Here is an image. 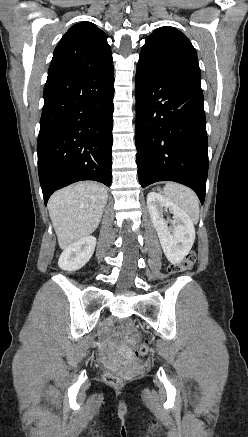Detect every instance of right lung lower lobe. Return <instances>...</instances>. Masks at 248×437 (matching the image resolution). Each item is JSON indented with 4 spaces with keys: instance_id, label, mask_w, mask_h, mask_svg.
Masks as SVG:
<instances>
[{
    "instance_id": "98d812e1",
    "label": "right lung lower lobe",
    "mask_w": 248,
    "mask_h": 437,
    "mask_svg": "<svg viewBox=\"0 0 248 437\" xmlns=\"http://www.w3.org/2000/svg\"><path fill=\"white\" fill-rule=\"evenodd\" d=\"M113 64L88 74L49 75L37 143L45 205L81 180H112Z\"/></svg>"
}]
</instances>
